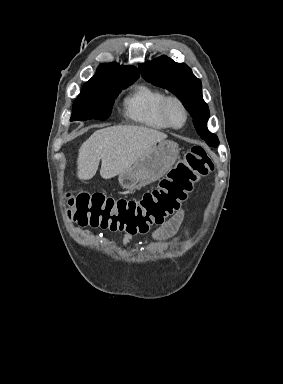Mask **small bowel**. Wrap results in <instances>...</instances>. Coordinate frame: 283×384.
Segmentation results:
<instances>
[{"label":"small bowel","instance_id":"1","mask_svg":"<svg viewBox=\"0 0 283 384\" xmlns=\"http://www.w3.org/2000/svg\"><path fill=\"white\" fill-rule=\"evenodd\" d=\"M184 212L182 210L177 211L172 217L164 222L159 228L151 233V236L155 240H166L169 238H175L177 232L184 223ZM132 239L131 234H126L123 238V248L131 250L129 243Z\"/></svg>","mask_w":283,"mask_h":384}]
</instances>
